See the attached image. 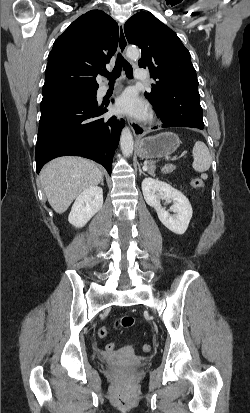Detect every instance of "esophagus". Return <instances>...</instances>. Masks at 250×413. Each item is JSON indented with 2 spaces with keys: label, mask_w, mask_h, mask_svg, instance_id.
<instances>
[{
  "label": "esophagus",
  "mask_w": 250,
  "mask_h": 413,
  "mask_svg": "<svg viewBox=\"0 0 250 413\" xmlns=\"http://www.w3.org/2000/svg\"><path fill=\"white\" fill-rule=\"evenodd\" d=\"M127 45H128V42H127L125 32H124V25L120 24L119 25L118 50H119L120 54L123 55V56H125V51H126ZM127 122L129 124L130 128L132 129L134 136L139 137V136L143 135L144 129L134 119L127 118Z\"/></svg>",
  "instance_id": "esophagus-1"
}]
</instances>
